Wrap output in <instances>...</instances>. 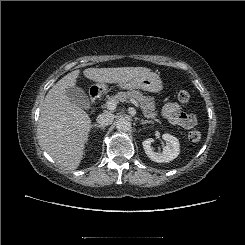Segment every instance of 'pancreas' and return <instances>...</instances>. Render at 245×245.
I'll return each instance as SVG.
<instances>
[{
  "mask_svg": "<svg viewBox=\"0 0 245 245\" xmlns=\"http://www.w3.org/2000/svg\"><path fill=\"white\" fill-rule=\"evenodd\" d=\"M130 98L135 99L139 103L142 112L146 118H150L151 120L160 123V120L156 117L157 111L155 110L156 104L154 102V99L150 96L144 95L140 91L131 90L127 92H118L116 95L109 98V100H115L118 102L125 101Z\"/></svg>",
  "mask_w": 245,
  "mask_h": 245,
  "instance_id": "1",
  "label": "pancreas"
}]
</instances>
